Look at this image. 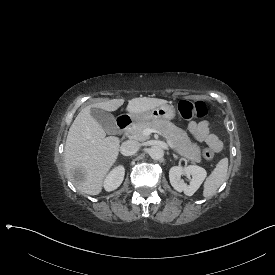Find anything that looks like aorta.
<instances>
[{"label":"aorta","instance_id":"1","mask_svg":"<svg viewBox=\"0 0 275 275\" xmlns=\"http://www.w3.org/2000/svg\"><path fill=\"white\" fill-rule=\"evenodd\" d=\"M149 155L153 160H160L164 156V151L159 146H153L149 149Z\"/></svg>","mask_w":275,"mask_h":275}]
</instances>
